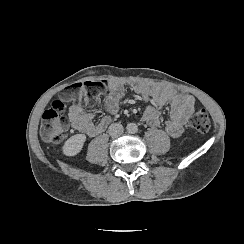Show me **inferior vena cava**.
Instances as JSON below:
<instances>
[{"label":"inferior vena cava","instance_id":"602c4592","mask_svg":"<svg viewBox=\"0 0 244 244\" xmlns=\"http://www.w3.org/2000/svg\"><path fill=\"white\" fill-rule=\"evenodd\" d=\"M123 126L119 123H113L109 126V134L112 136V137H118L120 136L122 133H123Z\"/></svg>","mask_w":244,"mask_h":244}]
</instances>
